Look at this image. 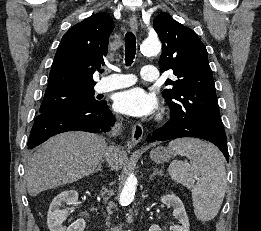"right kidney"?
<instances>
[{
	"label": "right kidney",
	"mask_w": 261,
	"mask_h": 231,
	"mask_svg": "<svg viewBox=\"0 0 261 231\" xmlns=\"http://www.w3.org/2000/svg\"><path fill=\"white\" fill-rule=\"evenodd\" d=\"M76 205L78 203V193L75 190H67L58 194L50 204L47 225L50 231H84L85 221L83 219L77 220L73 227L65 228L62 223L68 215L67 209H61L62 204Z\"/></svg>",
	"instance_id": "1"
}]
</instances>
